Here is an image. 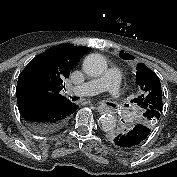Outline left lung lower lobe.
Segmentation results:
<instances>
[{
  "mask_svg": "<svg viewBox=\"0 0 177 177\" xmlns=\"http://www.w3.org/2000/svg\"><path fill=\"white\" fill-rule=\"evenodd\" d=\"M151 129L141 123L135 125L130 130L119 131L111 135L113 144L122 148H131L138 146L146 140Z\"/></svg>",
  "mask_w": 177,
  "mask_h": 177,
  "instance_id": "1",
  "label": "left lung lower lobe"
}]
</instances>
